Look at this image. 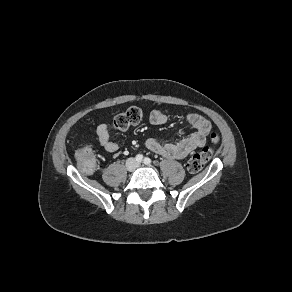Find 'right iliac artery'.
<instances>
[{
    "label": "right iliac artery",
    "instance_id": "82829eb1",
    "mask_svg": "<svg viewBox=\"0 0 292 292\" xmlns=\"http://www.w3.org/2000/svg\"><path fill=\"white\" fill-rule=\"evenodd\" d=\"M142 160H143V155L138 154V155L136 156V161H137V162H141Z\"/></svg>",
    "mask_w": 292,
    "mask_h": 292
}]
</instances>
